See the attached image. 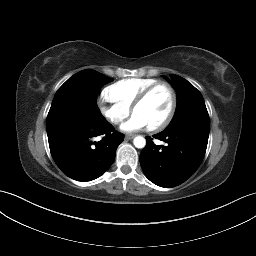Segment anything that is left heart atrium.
Here are the masks:
<instances>
[{
  "mask_svg": "<svg viewBox=\"0 0 256 256\" xmlns=\"http://www.w3.org/2000/svg\"><path fill=\"white\" fill-rule=\"evenodd\" d=\"M148 127V123L142 116L133 113L132 116L121 125V130L126 133H133Z\"/></svg>",
  "mask_w": 256,
  "mask_h": 256,
  "instance_id": "1",
  "label": "left heart atrium"
}]
</instances>
